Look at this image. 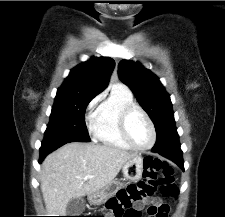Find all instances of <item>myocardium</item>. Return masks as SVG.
I'll return each mask as SVG.
<instances>
[{
	"instance_id": "obj_1",
	"label": "myocardium",
	"mask_w": 225,
	"mask_h": 217,
	"mask_svg": "<svg viewBox=\"0 0 225 217\" xmlns=\"http://www.w3.org/2000/svg\"><path fill=\"white\" fill-rule=\"evenodd\" d=\"M135 112H139L144 116V118L146 119V121L149 124L150 130L152 133V140H151L150 144L145 147L136 145L133 142V140L130 136V133H129V120H130V117ZM119 128H120V133H121L123 140L126 142V144L128 146H130L134 150L147 151V150L151 149L156 142V137H157L156 129H155L152 119L150 118L148 113L141 106H139L136 103L129 104L122 109L120 116H119Z\"/></svg>"
}]
</instances>
